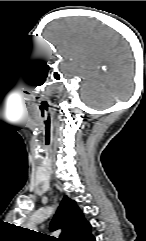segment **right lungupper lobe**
I'll list each match as a JSON object with an SVG mask.
<instances>
[{"label": "right lung upper lobe", "instance_id": "cb5924a9", "mask_svg": "<svg viewBox=\"0 0 146 241\" xmlns=\"http://www.w3.org/2000/svg\"><path fill=\"white\" fill-rule=\"evenodd\" d=\"M50 229L55 231L62 229L57 241H89L91 225L83 217L75 201L64 196L52 222Z\"/></svg>", "mask_w": 146, "mask_h": 241}]
</instances>
